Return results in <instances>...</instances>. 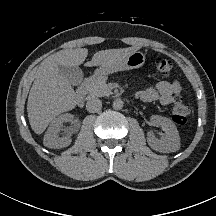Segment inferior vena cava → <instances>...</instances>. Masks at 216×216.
<instances>
[{
	"mask_svg": "<svg viewBox=\"0 0 216 216\" xmlns=\"http://www.w3.org/2000/svg\"><path fill=\"white\" fill-rule=\"evenodd\" d=\"M102 108V101L98 98H90L86 103V109L90 113L99 112Z\"/></svg>",
	"mask_w": 216,
	"mask_h": 216,
	"instance_id": "1",
	"label": "inferior vena cava"
}]
</instances>
